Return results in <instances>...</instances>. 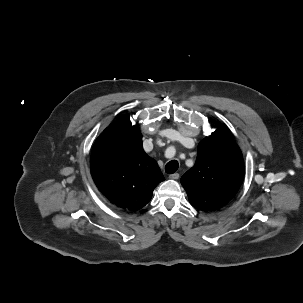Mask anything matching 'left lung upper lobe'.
<instances>
[{"instance_id":"5c2ea615","label":"left lung upper lobe","mask_w":303,"mask_h":303,"mask_svg":"<svg viewBox=\"0 0 303 303\" xmlns=\"http://www.w3.org/2000/svg\"><path fill=\"white\" fill-rule=\"evenodd\" d=\"M243 178L240 148L230 133L220 126L200 142L196 163L182 176L181 184L192 206L213 211L235 196Z\"/></svg>"}]
</instances>
